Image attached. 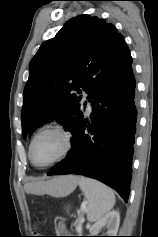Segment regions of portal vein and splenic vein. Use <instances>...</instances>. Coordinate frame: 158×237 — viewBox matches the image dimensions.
<instances>
[{"instance_id":"obj_1","label":"portal vein and splenic vein","mask_w":158,"mask_h":237,"mask_svg":"<svg viewBox=\"0 0 158 237\" xmlns=\"http://www.w3.org/2000/svg\"><path fill=\"white\" fill-rule=\"evenodd\" d=\"M86 204H87V202L82 203L81 212H83L86 209ZM83 221H84V219L82 217H80L79 220H78L77 228H81V225H82Z\"/></svg>"}]
</instances>
